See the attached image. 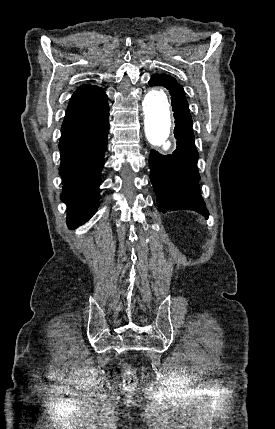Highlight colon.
<instances>
[{
	"label": "colon",
	"instance_id": "5ec220e1",
	"mask_svg": "<svg viewBox=\"0 0 275 429\" xmlns=\"http://www.w3.org/2000/svg\"><path fill=\"white\" fill-rule=\"evenodd\" d=\"M123 371V384L125 388L129 389L132 388L135 384V378H134V371L127 366L122 367Z\"/></svg>",
	"mask_w": 275,
	"mask_h": 429
}]
</instances>
